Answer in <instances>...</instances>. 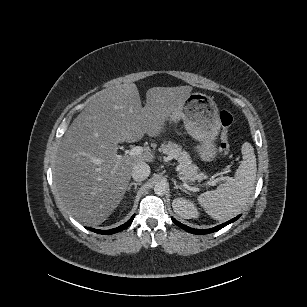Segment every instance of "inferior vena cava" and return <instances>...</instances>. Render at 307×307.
Masks as SVG:
<instances>
[{"label":"inferior vena cava","instance_id":"inferior-vena-cava-1","mask_svg":"<svg viewBox=\"0 0 307 307\" xmlns=\"http://www.w3.org/2000/svg\"><path fill=\"white\" fill-rule=\"evenodd\" d=\"M131 175L135 181L141 182L150 175V167L143 161L138 162L134 165Z\"/></svg>","mask_w":307,"mask_h":307}]
</instances>
